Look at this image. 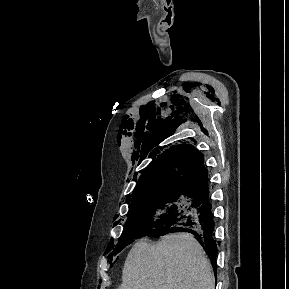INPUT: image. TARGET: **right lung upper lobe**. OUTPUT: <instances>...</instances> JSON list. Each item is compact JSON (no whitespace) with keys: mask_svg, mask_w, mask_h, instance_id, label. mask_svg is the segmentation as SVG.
Listing matches in <instances>:
<instances>
[{"mask_svg":"<svg viewBox=\"0 0 289 289\" xmlns=\"http://www.w3.org/2000/svg\"><path fill=\"white\" fill-rule=\"evenodd\" d=\"M135 180L133 199L169 193L199 196L208 191L203 155L191 144L172 146Z\"/></svg>","mask_w":289,"mask_h":289,"instance_id":"obj_1","label":"right lung upper lobe"}]
</instances>
